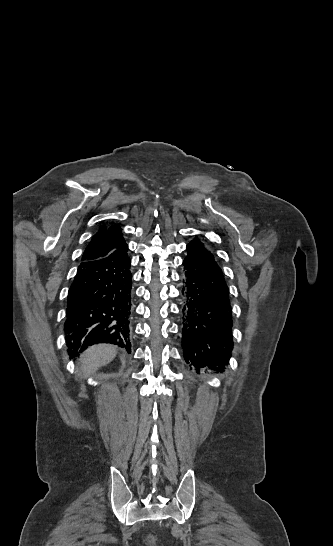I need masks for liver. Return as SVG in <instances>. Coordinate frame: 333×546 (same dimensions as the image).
Here are the masks:
<instances>
[{
	"label": "liver",
	"mask_w": 333,
	"mask_h": 546,
	"mask_svg": "<svg viewBox=\"0 0 333 546\" xmlns=\"http://www.w3.org/2000/svg\"><path fill=\"white\" fill-rule=\"evenodd\" d=\"M116 356V348L99 344L88 348L81 355L82 373L85 378L94 374L100 367L110 363Z\"/></svg>",
	"instance_id": "6515ba94"
}]
</instances>
